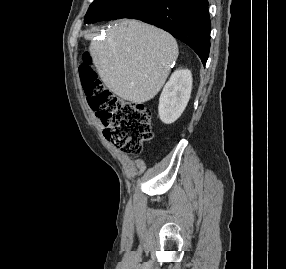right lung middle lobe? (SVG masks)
Here are the masks:
<instances>
[{
	"label": "right lung middle lobe",
	"mask_w": 286,
	"mask_h": 269,
	"mask_svg": "<svg viewBox=\"0 0 286 269\" xmlns=\"http://www.w3.org/2000/svg\"><path fill=\"white\" fill-rule=\"evenodd\" d=\"M153 0H94L90 5L84 23L128 18Z\"/></svg>",
	"instance_id": "right-lung-middle-lobe-1"
}]
</instances>
